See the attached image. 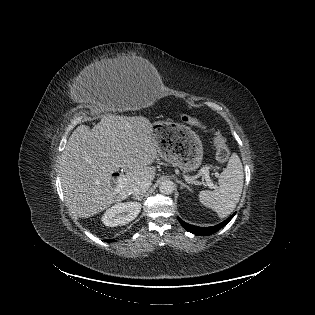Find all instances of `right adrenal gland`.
<instances>
[{
  "mask_svg": "<svg viewBox=\"0 0 315 315\" xmlns=\"http://www.w3.org/2000/svg\"><path fill=\"white\" fill-rule=\"evenodd\" d=\"M143 195L142 196H136V197H132L134 200H138L141 201L143 199Z\"/></svg>",
  "mask_w": 315,
  "mask_h": 315,
  "instance_id": "obj_1",
  "label": "right adrenal gland"
}]
</instances>
